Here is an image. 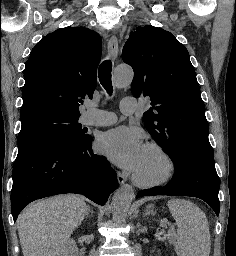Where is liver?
Wrapping results in <instances>:
<instances>
[{
    "instance_id": "liver-1",
    "label": "liver",
    "mask_w": 236,
    "mask_h": 256,
    "mask_svg": "<svg viewBox=\"0 0 236 256\" xmlns=\"http://www.w3.org/2000/svg\"><path fill=\"white\" fill-rule=\"evenodd\" d=\"M88 210L84 200L72 194L30 204L18 218L23 256H64L67 240Z\"/></svg>"
}]
</instances>
